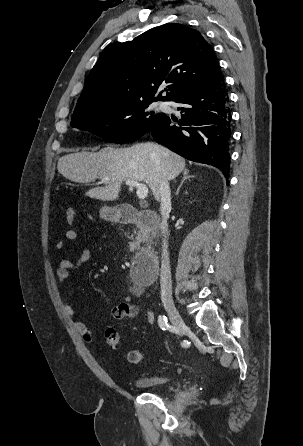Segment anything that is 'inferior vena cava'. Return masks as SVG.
<instances>
[{
	"label": "inferior vena cava",
	"mask_w": 303,
	"mask_h": 446,
	"mask_svg": "<svg viewBox=\"0 0 303 446\" xmlns=\"http://www.w3.org/2000/svg\"><path fill=\"white\" fill-rule=\"evenodd\" d=\"M159 194L161 198L160 212L162 215V222L160 224L161 233L164 236L162 245V260H161V272H160V285H161V300L162 302L172 301V281H171V269L168 253V217L171 210V191L167 180H163L160 183Z\"/></svg>",
	"instance_id": "obj_1"
}]
</instances>
